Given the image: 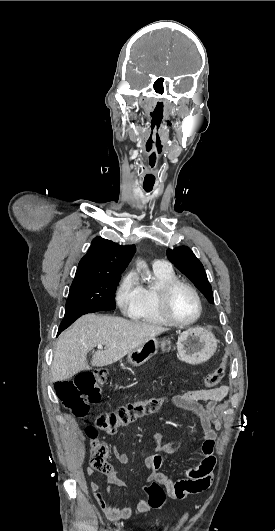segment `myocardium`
Instances as JSON below:
<instances>
[{
	"label": "myocardium",
	"instance_id": "f54148a6",
	"mask_svg": "<svg viewBox=\"0 0 275 531\" xmlns=\"http://www.w3.org/2000/svg\"><path fill=\"white\" fill-rule=\"evenodd\" d=\"M178 286H182V287L186 288L187 290H189L192 293V295L194 296V298L196 300V303H197V307H198L197 314H196V316L193 319H191L189 321H179V320H177L171 314L170 309H169L170 295H171L172 291ZM158 306H159L160 312L163 315V317L170 324L175 325V326H179V327H186V326H190V325L196 323L201 318V315H202V312H203L202 301H201V298H200L197 290L191 284H189L188 282L183 281V280H179V279L170 280V281H168L166 283L161 284L158 287Z\"/></svg>",
	"mask_w": 275,
	"mask_h": 531
}]
</instances>
